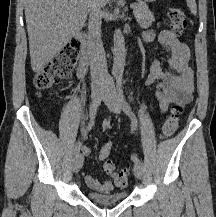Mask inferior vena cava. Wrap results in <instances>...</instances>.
Listing matches in <instances>:
<instances>
[{
  "mask_svg": "<svg viewBox=\"0 0 216 217\" xmlns=\"http://www.w3.org/2000/svg\"><path fill=\"white\" fill-rule=\"evenodd\" d=\"M102 11L93 8L88 21V48L92 87H100L110 82L105 50L101 40Z\"/></svg>",
  "mask_w": 216,
  "mask_h": 217,
  "instance_id": "602c4592",
  "label": "inferior vena cava"
}]
</instances>
